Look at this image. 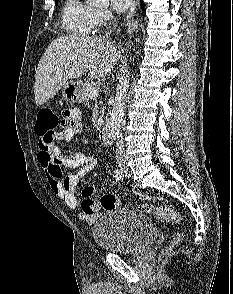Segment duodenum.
<instances>
[{"instance_id": "obj_1", "label": "duodenum", "mask_w": 233, "mask_h": 294, "mask_svg": "<svg viewBox=\"0 0 233 294\" xmlns=\"http://www.w3.org/2000/svg\"><path fill=\"white\" fill-rule=\"evenodd\" d=\"M99 138L101 143L104 146H109L111 144V139H110V135L107 129L103 128L101 129L100 133H99Z\"/></svg>"}]
</instances>
